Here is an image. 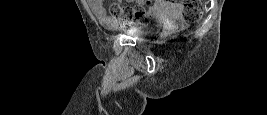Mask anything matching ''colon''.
<instances>
[{
    "label": "colon",
    "mask_w": 267,
    "mask_h": 115,
    "mask_svg": "<svg viewBox=\"0 0 267 115\" xmlns=\"http://www.w3.org/2000/svg\"><path fill=\"white\" fill-rule=\"evenodd\" d=\"M172 2L182 6V15L186 22L193 23L201 18L203 6L200 0H173ZM109 10L120 24L142 19L145 15V9L142 5H121L117 1L110 3Z\"/></svg>",
    "instance_id": "1"
}]
</instances>
